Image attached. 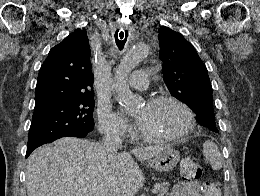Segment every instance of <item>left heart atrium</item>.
Returning <instances> with one entry per match:
<instances>
[{"mask_svg": "<svg viewBox=\"0 0 260 196\" xmlns=\"http://www.w3.org/2000/svg\"><path fill=\"white\" fill-rule=\"evenodd\" d=\"M137 122H138V124L140 125L141 119H140V118H137ZM102 192H115V190H102Z\"/></svg>", "mask_w": 260, "mask_h": 196, "instance_id": "left-heart-atrium-1", "label": "left heart atrium"}]
</instances>
